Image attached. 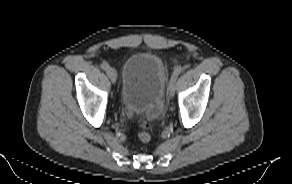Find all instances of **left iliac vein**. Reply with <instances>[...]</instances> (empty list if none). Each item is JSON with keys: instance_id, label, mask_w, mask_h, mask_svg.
<instances>
[{"instance_id": "obj_1", "label": "left iliac vein", "mask_w": 292, "mask_h": 184, "mask_svg": "<svg viewBox=\"0 0 292 184\" xmlns=\"http://www.w3.org/2000/svg\"><path fill=\"white\" fill-rule=\"evenodd\" d=\"M167 94L169 96V98H173L174 94H175V81L174 80H170L168 88H167Z\"/></svg>"}]
</instances>
